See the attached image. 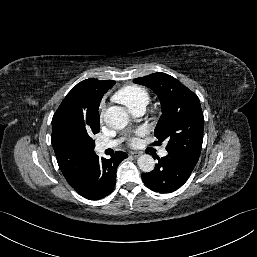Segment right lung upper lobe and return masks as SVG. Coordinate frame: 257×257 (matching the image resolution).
Instances as JSON below:
<instances>
[{
    "instance_id": "right-lung-upper-lobe-1",
    "label": "right lung upper lobe",
    "mask_w": 257,
    "mask_h": 257,
    "mask_svg": "<svg viewBox=\"0 0 257 257\" xmlns=\"http://www.w3.org/2000/svg\"><path fill=\"white\" fill-rule=\"evenodd\" d=\"M115 81L86 79L66 95L52 119L51 142L59 168L73 184L96 155L92 134L99 132L100 101Z\"/></svg>"
}]
</instances>
